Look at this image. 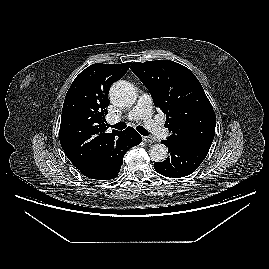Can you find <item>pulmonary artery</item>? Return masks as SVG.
Returning <instances> with one entry per match:
<instances>
[{"label":"pulmonary artery","instance_id":"1","mask_svg":"<svg viewBox=\"0 0 269 269\" xmlns=\"http://www.w3.org/2000/svg\"><path fill=\"white\" fill-rule=\"evenodd\" d=\"M152 116V99L148 94H142L136 105L128 113L126 118L128 120L143 119L146 128L155 138H163L167 136V130L158 124L156 121L151 119ZM121 120L120 117L111 116L109 122L115 124Z\"/></svg>","mask_w":269,"mask_h":269}]
</instances>
